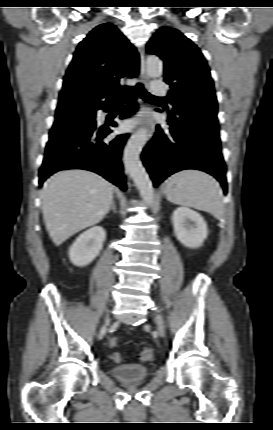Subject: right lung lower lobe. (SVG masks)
I'll use <instances>...</instances> for the list:
<instances>
[{
    "instance_id": "1",
    "label": "right lung lower lobe",
    "mask_w": 273,
    "mask_h": 430,
    "mask_svg": "<svg viewBox=\"0 0 273 430\" xmlns=\"http://www.w3.org/2000/svg\"><path fill=\"white\" fill-rule=\"evenodd\" d=\"M130 103L120 113L121 118L137 110L134 102L136 94L130 90ZM108 104L94 107V111L104 109ZM116 127L117 124L113 123ZM111 132L106 126L90 129L50 139L46 145L45 158L39 172V184L53 173L66 169H85L103 176L122 190H126L121 153L127 135H119L111 141L103 139Z\"/></svg>"
}]
</instances>
